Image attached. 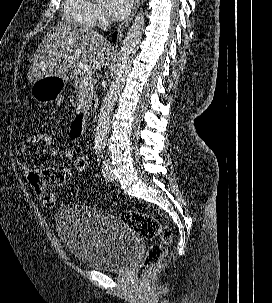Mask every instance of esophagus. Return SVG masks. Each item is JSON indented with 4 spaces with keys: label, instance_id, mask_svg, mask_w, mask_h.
Segmentation results:
<instances>
[{
    "label": "esophagus",
    "instance_id": "obj_1",
    "mask_svg": "<svg viewBox=\"0 0 272 303\" xmlns=\"http://www.w3.org/2000/svg\"><path fill=\"white\" fill-rule=\"evenodd\" d=\"M139 6H140V0H135L133 10H132L131 14L129 15V17H127L123 22H121L118 25L117 29L120 34V37L122 36L123 31L129 26V24L133 20L135 14L137 13Z\"/></svg>",
    "mask_w": 272,
    "mask_h": 303
}]
</instances>
